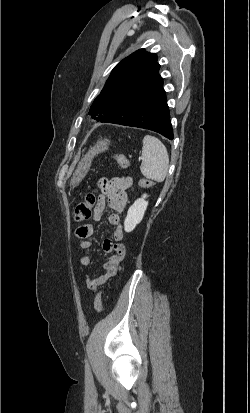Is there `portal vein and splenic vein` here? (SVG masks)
I'll return each mask as SVG.
<instances>
[{"label": "portal vein and splenic vein", "instance_id": "obj_1", "mask_svg": "<svg viewBox=\"0 0 250 413\" xmlns=\"http://www.w3.org/2000/svg\"><path fill=\"white\" fill-rule=\"evenodd\" d=\"M142 159V157H139V160H141Z\"/></svg>", "mask_w": 250, "mask_h": 413}]
</instances>
